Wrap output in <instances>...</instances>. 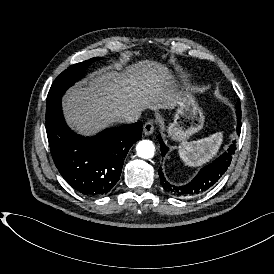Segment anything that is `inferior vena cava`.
Returning <instances> with one entry per match:
<instances>
[{"label": "inferior vena cava", "mask_w": 274, "mask_h": 274, "mask_svg": "<svg viewBox=\"0 0 274 274\" xmlns=\"http://www.w3.org/2000/svg\"><path fill=\"white\" fill-rule=\"evenodd\" d=\"M141 116L140 112H136V111H129V112H124L120 115V120L122 123H135L137 122V120L139 119V117Z\"/></svg>", "instance_id": "inferior-vena-cava-1"}]
</instances>
